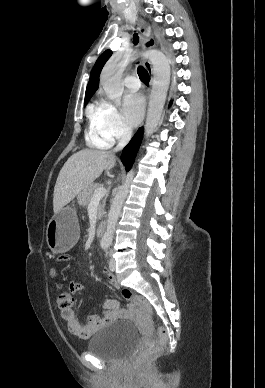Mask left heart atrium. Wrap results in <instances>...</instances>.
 Instances as JSON below:
<instances>
[{
	"mask_svg": "<svg viewBox=\"0 0 265 388\" xmlns=\"http://www.w3.org/2000/svg\"><path fill=\"white\" fill-rule=\"evenodd\" d=\"M144 113V100L142 95L128 94L123 100V116L131 124H137Z\"/></svg>",
	"mask_w": 265,
	"mask_h": 388,
	"instance_id": "39dd6f15",
	"label": "left heart atrium"
}]
</instances>
